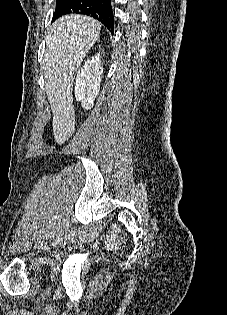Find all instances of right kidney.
Listing matches in <instances>:
<instances>
[{"mask_svg": "<svg viewBox=\"0 0 227 315\" xmlns=\"http://www.w3.org/2000/svg\"><path fill=\"white\" fill-rule=\"evenodd\" d=\"M102 77L103 66L98 53L87 60L77 74L75 98L81 102L84 109L93 107L94 101L99 94Z\"/></svg>", "mask_w": 227, "mask_h": 315, "instance_id": "ca27d5eb", "label": "right kidney"}]
</instances>
